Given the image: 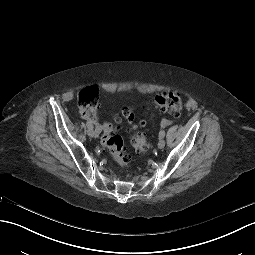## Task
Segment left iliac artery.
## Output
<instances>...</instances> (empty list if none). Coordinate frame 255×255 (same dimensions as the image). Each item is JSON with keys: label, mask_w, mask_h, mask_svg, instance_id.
<instances>
[{"label": "left iliac artery", "mask_w": 255, "mask_h": 255, "mask_svg": "<svg viewBox=\"0 0 255 255\" xmlns=\"http://www.w3.org/2000/svg\"><path fill=\"white\" fill-rule=\"evenodd\" d=\"M164 136H165V131H164V130H161V131L159 132V138H164Z\"/></svg>", "instance_id": "44dca946"}]
</instances>
